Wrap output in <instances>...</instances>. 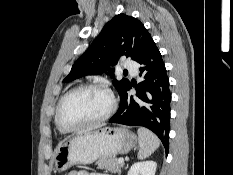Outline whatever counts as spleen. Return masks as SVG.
Here are the masks:
<instances>
[{
    "instance_id": "obj_1",
    "label": "spleen",
    "mask_w": 233,
    "mask_h": 175,
    "mask_svg": "<svg viewBox=\"0 0 233 175\" xmlns=\"http://www.w3.org/2000/svg\"><path fill=\"white\" fill-rule=\"evenodd\" d=\"M139 140L138 159L149 157L160 145L158 137L150 130L140 127L137 130Z\"/></svg>"
}]
</instances>
